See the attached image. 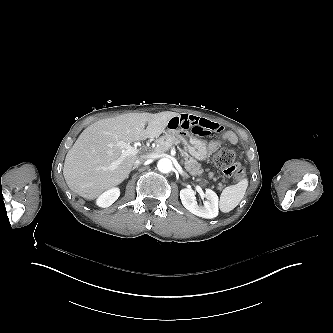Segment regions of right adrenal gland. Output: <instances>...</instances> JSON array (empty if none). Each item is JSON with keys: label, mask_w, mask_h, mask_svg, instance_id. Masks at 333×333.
I'll return each mask as SVG.
<instances>
[{"label": "right adrenal gland", "mask_w": 333, "mask_h": 333, "mask_svg": "<svg viewBox=\"0 0 333 333\" xmlns=\"http://www.w3.org/2000/svg\"><path fill=\"white\" fill-rule=\"evenodd\" d=\"M137 167L136 166H134L132 169H131V171H133L134 169H136Z\"/></svg>", "instance_id": "obj_1"}]
</instances>
